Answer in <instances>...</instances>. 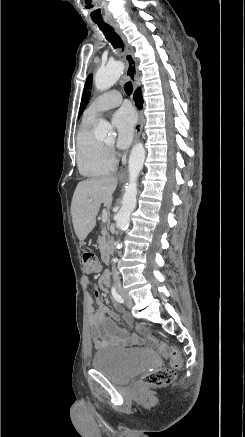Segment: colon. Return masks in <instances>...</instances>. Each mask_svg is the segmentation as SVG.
Instances as JSON below:
<instances>
[{
  "label": "colon",
  "mask_w": 245,
  "mask_h": 437,
  "mask_svg": "<svg viewBox=\"0 0 245 437\" xmlns=\"http://www.w3.org/2000/svg\"><path fill=\"white\" fill-rule=\"evenodd\" d=\"M102 267L97 256L92 250L83 253V272L86 275L100 273ZM159 352L170 359V368H160L143 376V382L151 386H161L171 383L176 377V370L181 367L182 361L178 350L166 343L158 345Z\"/></svg>",
  "instance_id": "colon-1"
}]
</instances>
